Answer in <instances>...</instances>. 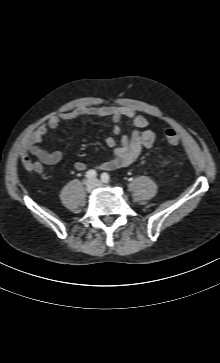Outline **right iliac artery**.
I'll return each mask as SVG.
<instances>
[{"mask_svg":"<svg viewBox=\"0 0 220 363\" xmlns=\"http://www.w3.org/2000/svg\"><path fill=\"white\" fill-rule=\"evenodd\" d=\"M85 176L88 179H93V178H95L97 176V173H96L95 170H89V171L86 172Z\"/></svg>","mask_w":220,"mask_h":363,"instance_id":"right-iliac-artery-1","label":"right iliac artery"}]
</instances>
